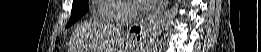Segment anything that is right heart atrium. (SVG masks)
Returning <instances> with one entry per match:
<instances>
[{
    "instance_id": "1",
    "label": "right heart atrium",
    "mask_w": 261,
    "mask_h": 52,
    "mask_svg": "<svg viewBox=\"0 0 261 52\" xmlns=\"http://www.w3.org/2000/svg\"><path fill=\"white\" fill-rule=\"evenodd\" d=\"M106 2L113 3L119 6V9L115 10L111 17H117V18H132L135 10L133 6L124 0H105Z\"/></svg>"
}]
</instances>
